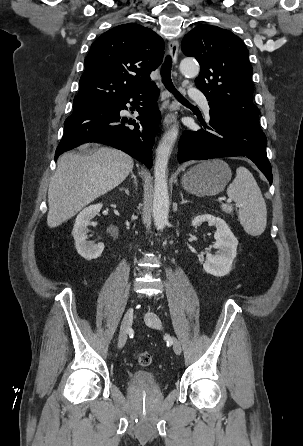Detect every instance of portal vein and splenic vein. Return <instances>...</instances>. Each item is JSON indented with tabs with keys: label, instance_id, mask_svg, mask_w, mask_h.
Segmentation results:
<instances>
[{
	"label": "portal vein and splenic vein",
	"instance_id": "1",
	"mask_svg": "<svg viewBox=\"0 0 303 446\" xmlns=\"http://www.w3.org/2000/svg\"><path fill=\"white\" fill-rule=\"evenodd\" d=\"M227 202H230V200H227ZM237 207H238V205H237Z\"/></svg>",
	"mask_w": 303,
	"mask_h": 446
}]
</instances>
